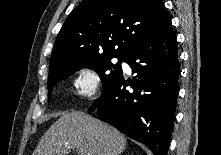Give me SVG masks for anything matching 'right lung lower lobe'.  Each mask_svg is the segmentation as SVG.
<instances>
[{
    "instance_id": "98d812e1",
    "label": "right lung lower lobe",
    "mask_w": 221,
    "mask_h": 155,
    "mask_svg": "<svg viewBox=\"0 0 221 155\" xmlns=\"http://www.w3.org/2000/svg\"><path fill=\"white\" fill-rule=\"evenodd\" d=\"M134 83L123 73L96 99L89 112L132 139L147 145L154 155H167L179 91L180 65L171 24L143 37L125 59ZM134 89L129 92L126 87Z\"/></svg>"
}]
</instances>
